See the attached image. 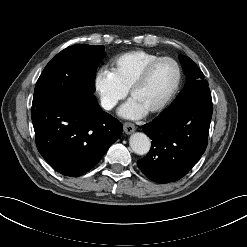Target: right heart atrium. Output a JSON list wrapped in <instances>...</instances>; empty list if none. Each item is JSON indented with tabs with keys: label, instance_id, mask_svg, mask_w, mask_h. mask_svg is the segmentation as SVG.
Here are the masks:
<instances>
[{
	"label": "right heart atrium",
	"instance_id": "d8ad5b80",
	"mask_svg": "<svg viewBox=\"0 0 247 247\" xmlns=\"http://www.w3.org/2000/svg\"><path fill=\"white\" fill-rule=\"evenodd\" d=\"M93 90L101 107L110 111L127 96V90L121 87L112 74L104 69H99L93 78Z\"/></svg>",
	"mask_w": 247,
	"mask_h": 247
}]
</instances>
